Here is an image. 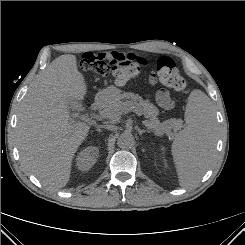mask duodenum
<instances>
[{
	"instance_id": "duodenum-1",
	"label": "duodenum",
	"mask_w": 245,
	"mask_h": 245,
	"mask_svg": "<svg viewBox=\"0 0 245 245\" xmlns=\"http://www.w3.org/2000/svg\"><path fill=\"white\" fill-rule=\"evenodd\" d=\"M107 96L106 95H99L93 105H92V109L93 111H99L100 109H102L104 107V105L106 104L107 102Z\"/></svg>"
}]
</instances>
